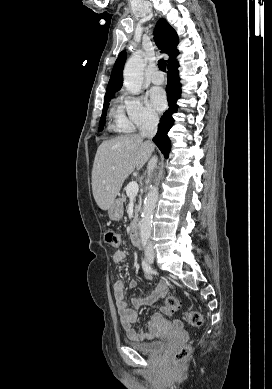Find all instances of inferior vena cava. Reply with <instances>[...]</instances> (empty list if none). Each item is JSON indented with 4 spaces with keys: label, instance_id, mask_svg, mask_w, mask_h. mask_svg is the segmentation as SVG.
<instances>
[{
    "label": "inferior vena cava",
    "instance_id": "obj_1",
    "mask_svg": "<svg viewBox=\"0 0 272 389\" xmlns=\"http://www.w3.org/2000/svg\"><path fill=\"white\" fill-rule=\"evenodd\" d=\"M158 123H159V119L157 117H154V116H148L145 120V122L143 123V125L141 126L140 128V131H141V136L142 137H147L148 139H152L156 132H157V126H158ZM157 157L154 156L150 159L149 163H148V166H147V169H148V175L150 176L151 173L153 172L154 168L156 167V164H157ZM146 252H150V253H153L154 252V249H153V245L151 242H149L146 246Z\"/></svg>",
    "mask_w": 272,
    "mask_h": 389
}]
</instances>
